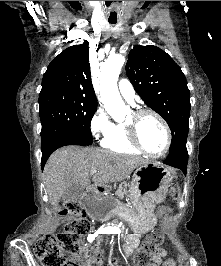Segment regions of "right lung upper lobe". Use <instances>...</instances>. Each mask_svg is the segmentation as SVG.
I'll return each instance as SVG.
<instances>
[{"label":"right lung upper lobe","mask_w":221,"mask_h":266,"mask_svg":"<svg viewBox=\"0 0 221 266\" xmlns=\"http://www.w3.org/2000/svg\"><path fill=\"white\" fill-rule=\"evenodd\" d=\"M89 47L85 41L62 51L49 64L42 80V90H63L97 103L89 64Z\"/></svg>","instance_id":"right-lung-upper-lobe-1"}]
</instances>
